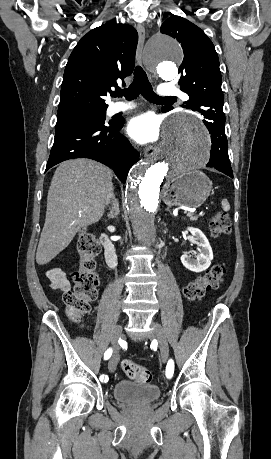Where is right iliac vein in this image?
Wrapping results in <instances>:
<instances>
[{
  "label": "right iliac vein",
  "mask_w": 271,
  "mask_h": 459,
  "mask_svg": "<svg viewBox=\"0 0 271 459\" xmlns=\"http://www.w3.org/2000/svg\"><path fill=\"white\" fill-rule=\"evenodd\" d=\"M122 333V326L117 325L114 330L113 334V339H112V344H113V354L109 360V370L111 373H113L117 367L118 364V345H117V339L121 337Z\"/></svg>",
  "instance_id": "1"
}]
</instances>
